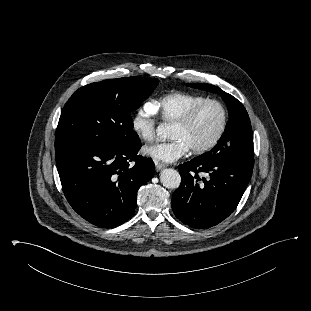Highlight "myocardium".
Listing matches in <instances>:
<instances>
[{
  "label": "myocardium",
  "mask_w": 311,
  "mask_h": 311,
  "mask_svg": "<svg viewBox=\"0 0 311 311\" xmlns=\"http://www.w3.org/2000/svg\"><path fill=\"white\" fill-rule=\"evenodd\" d=\"M208 104H214L220 109V112H221L220 126H219L217 132L215 133V135L206 144L199 146V147L191 148V151L194 153L207 152V151L211 150L213 147H215L216 144L220 141L221 137L223 136V134L226 130L227 121H228V112H227V109L224 106V104L222 102H220L219 100H216V99H205V100L199 102L198 104H196L195 106H193L180 119H178L177 121H175L173 123V125L180 126V127L188 126L193 121V119L195 118L197 113L205 105H208Z\"/></svg>",
  "instance_id": "obj_1"
}]
</instances>
